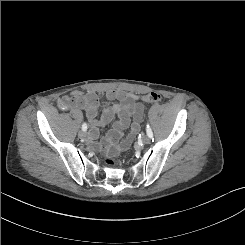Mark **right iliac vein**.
<instances>
[{
  "instance_id": "63e3f726",
  "label": "right iliac vein",
  "mask_w": 245,
  "mask_h": 245,
  "mask_svg": "<svg viewBox=\"0 0 245 245\" xmlns=\"http://www.w3.org/2000/svg\"><path fill=\"white\" fill-rule=\"evenodd\" d=\"M78 136H79L80 138H84V137L86 136V134H85V132L82 130V131H80V132L78 133Z\"/></svg>"
}]
</instances>
